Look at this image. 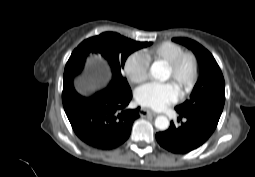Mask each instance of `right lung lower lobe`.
<instances>
[{"mask_svg":"<svg viewBox=\"0 0 255 177\" xmlns=\"http://www.w3.org/2000/svg\"><path fill=\"white\" fill-rule=\"evenodd\" d=\"M131 98V92L119 93L111 87L84 96L71 79L64 80L62 101L70 124L83 142L97 149H114L129 138L140 110H124Z\"/></svg>","mask_w":255,"mask_h":177,"instance_id":"obj_1","label":"right lung lower lobe"}]
</instances>
